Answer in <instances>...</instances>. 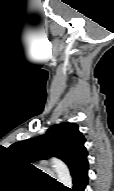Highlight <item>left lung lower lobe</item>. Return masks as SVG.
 <instances>
[{"label":"left lung lower lobe","instance_id":"0a47b994","mask_svg":"<svg viewBox=\"0 0 114 191\" xmlns=\"http://www.w3.org/2000/svg\"><path fill=\"white\" fill-rule=\"evenodd\" d=\"M88 161H85L79 166L72 174L73 177V188L66 189V191H84L88 182Z\"/></svg>","mask_w":114,"mask_h":191}]
</instances>
